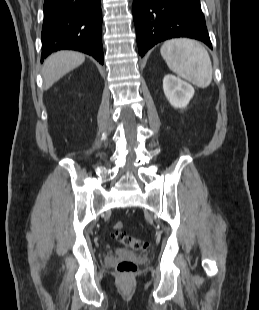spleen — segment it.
Returning a JSON list of instances; mask_svg holds the SVG:
<instances>
[{
	"label": "spleen",
	"instance_id": "spleen-1",
	"mask_svg": "<svg viewBox=\"0 0 259 310\" xmlns=\"http://www.w3.org/2000/svg\"><path fill=\"white\" fill-rule=\"evenodd\" d=\"M161 55L169 69L192 84L206 88L212 81L210 56L201 43L192 39H172L164 42Z\"/></svg>",
	"mask_w": 259,
	"mask_h": 310
}]
</instances>
